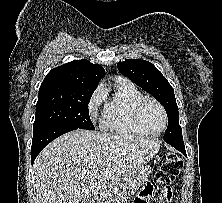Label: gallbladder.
<instances>
[{
    "label": "gallbladder",
    "instance_id": "gallbladder-1",
    "mask_svg": "<svg viewBox=\"0 0 222 203\" xmlns=\"http://www.w3.org/2000/svg\"><path fill=\"white\" fill-rule=\"evenodd\" d=\"M80 203H91V199L85 198Z\"/></svg>",
    "mask_w": 222,
    "mask_h": 203
}]
</instances>
